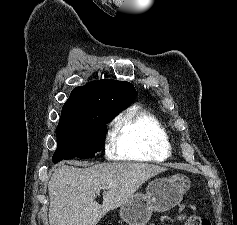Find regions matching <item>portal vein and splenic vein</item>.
Instances as JSON below:
<instances>
[{"instance_id": "1", "label": "portal vein and splenic vein", "mask_w": 237, "mask_h": 225, "mask_svg": "<svg viewBox=\"0 0 237 225\" xmlns=\"http://www.w3.org/2000/svg\"><path fill=\"white\" fill-rule=\"evenodd\" d=\"M101 189H103L102 187L98 188V191H100Z\"/></svg>"}]
</instances>
